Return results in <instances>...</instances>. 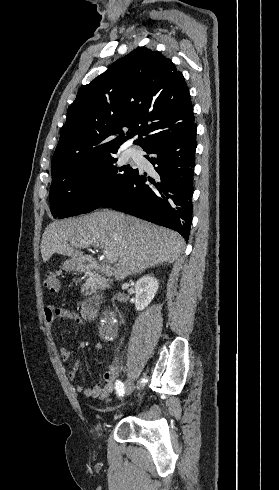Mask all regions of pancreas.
I'll return each instance as SVG.
<instances>
[{"label": "pancreas", "mask_w": 279, "mask_h": 490, "mask_svg": "<svg viewBox=\"0 0 279 490\" xmlns=\"http://www.w3.org/2000/svg\"><path fill=\"white\" fill-rule=\"evenodd\" d=\"M106 282V278H102V276H99V274L89 276L81 288V294H83V296H92V294H95L98 288L106 286Z\"/></svg>", "instance_id": "1"}]
</instances>
